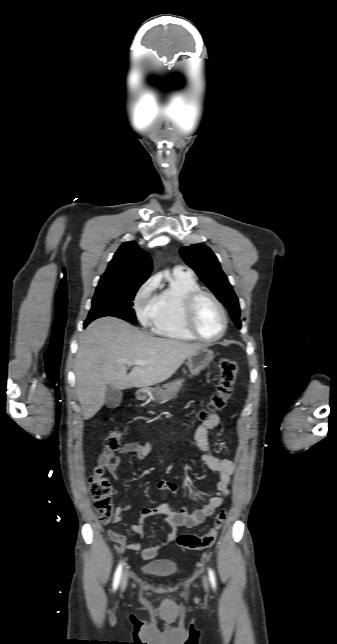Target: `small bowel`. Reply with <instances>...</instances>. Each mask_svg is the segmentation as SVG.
I'll use <instances>...</instances> for the list:
<instances>
[{"mask_svg": "<svg viewBox=\"0 0 337 644\" xmlns=\"http://www.w3.org/2000/svg\"><path fill=\"white\" fill-rule=\"evenodd\" d=\"M219 424V416L210 414L209 417L196 429L195 441L186 442L189 446L195 448L201 453V459L204 464L218 476L217 492L208 502L187 513L184 507L179 510L174 509L169 504H161L156 508H143L140 515V523L131 525L139 537H143V522L152 516H161L170 528V532L165 539L158 545L142 549L139 540L129 544V548L134 551H140L144 558L156 556L163 548L167 547L175 537L177 530L181 527L192 528L201 524L208 516L212 515L219 508L231 492V476L235 470V463L230 459L221 458L210 451L208 433L216 428ZM153 444H139L128 442L120 446L117 451L104 449L100 455L99 463L112 476H116V471L120 463V455L133 453L138 459L146 458L152 451ZM156 489L166 491L177 496L180 491V484L171 480L161 479L156 484ZM131 509V505L119 506L116 509L114 523L122 520L123 514ZM108 537L117 545L123 547L126 545L127 538L124 534L114 530L107 531Z\"/></svg>", "mask_w": 337, "mask_h": 644, "instance_id": "obj_1", "label": "small bowel"}]
</instances>
